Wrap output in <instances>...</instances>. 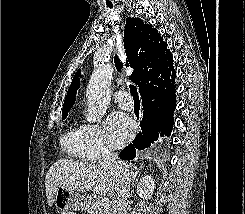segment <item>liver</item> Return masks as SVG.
I'll use <instances>...</instances> for the list:
<instances>
[{
	"instance_id": "liver-1",
	"label": "liver",
	"mask_w": 245,
	"mask_h": 214,
	"mask_svg": "<svg viewBox=\"0 0 245 214\" xmlns=\"http://www.w3.org/2000/svg\"><path fill=\"white\" fill-rule=\"evenodd\" d=\"M116 175L95 163H84L72 159H59L47 171L45 177L46 197L52 207L59 187L87 192L95 195L113 196Z\"/></svg>"
}]
</instances>
